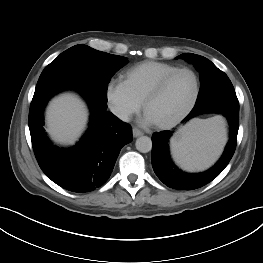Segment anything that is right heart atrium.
<instances>
[{"mask_svg": "<svg viewBox=\"0 0 263 263\" xmlns=\"http://www.w3.org/2000/svg\"><path fill=\"white\" fill-rule=\"evenodd\" d=\"M105 99L112 114L121 121L129 120L141 108V102L120 79H111L106 84Z\"/></svg>", "mask_w": 263, "mask_h": 263, "instance_id": "obj_1", "label": "right heart atrium"}]
</instances>
